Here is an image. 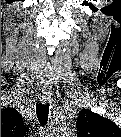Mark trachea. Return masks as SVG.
I'll list each match as a JSON object with an SVG mask.
<instances>
[{
    "mask_svg": "<svg viewBox=\"0 0 121 137\" xmlns=\"http://www.w3.org/2000/svg\"><path fill=\"white\" fill-rule=\"evenodd\" d=\"M48 113H49V106L48 104H41L38 103L36 105V114H37V118L39 120V122L41 123V125H45L47 123L48 120Z\"/></svg>",
    "mask_w": 121,
    "mask_h": 137,
    "instance_id": "3493384b",
    "label": "trachea"
}]
</instances>
